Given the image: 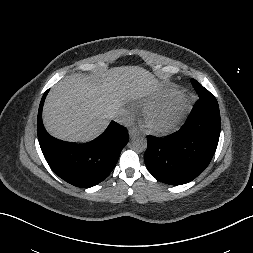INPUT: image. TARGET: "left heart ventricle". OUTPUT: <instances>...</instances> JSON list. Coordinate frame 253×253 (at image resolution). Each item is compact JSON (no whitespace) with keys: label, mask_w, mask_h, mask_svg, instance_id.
Listing matches in <instances>:
<instances>
[{"label":"left heart ventricle","mask_w":253,"mask_h":253,"mask_svg":"<svg viewBox=\"0 0 253 253\" xmlns=\"http://www.w3.org/2000/svg\"><path fill=\"white\" fill-rule=\"evenodd\" d=\"M168 121V116L166 114L159 115L155 118L157 124H164Z\"/></svg>","instance_id":"left-heart-ventricle-1"}]
</instances>
